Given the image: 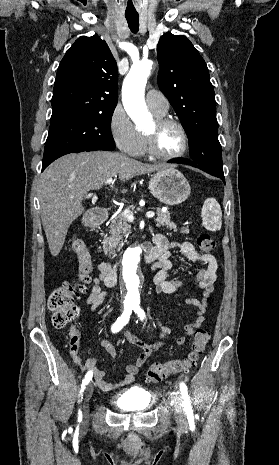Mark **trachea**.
Instances as JSON below:
<instances>
[{"label":"trachea","instance_id":"3493384b","mask_svg":"<svg viewBox=\"0 0 279 465\" xmlns=\"http://www.w3.org/2000/svg\"><path fill=\"white\" fill-rule=\"evenodd\" d=\"M129 28L133 33H137L139 29V15H125Z\"/></svg>","mask_w":279,"mask_h":465}]
</instances>
